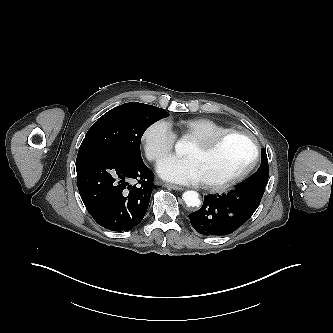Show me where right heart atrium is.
<instances>
[{
    "label": "right heart atrium",
    "mask_w": 333,
    "mask_h": 333,
    "mask_svg": "<svg viewBox=\"0 0 333 333\" xmlns=\"http://www.w3.org/2000/svg\"><path fill=\"white\" fill-rule=\"evenodd\" d=\"M142 142L147 158L157 162L173 150L176 134L167 121L156 120L145 128Z\"/></svg>",
    "instance_id": "right-heart-atrium-1"
}]
</instances>
